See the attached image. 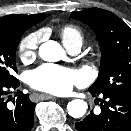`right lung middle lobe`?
I'll return each mask as SVG.
<instances>
[{
  "label": "right lung middle lobe",
  "instance_id": "dd1d6c3e",
  "mask_svg": "<svg viewBox=\"0 0 131 131\" xmlns=\"http://www.w3.org/2000/svg\"><path fill=\"white\" fill-rule=\"evenodd\" d=\"M27 29L0 28V83L15 80L16 49Z\"/></svg>",
  "mask_w": 131,
  "mask_h": 131
}]
</instances>
